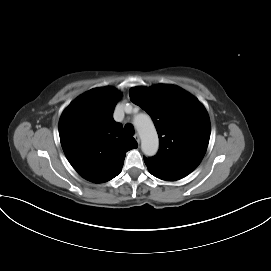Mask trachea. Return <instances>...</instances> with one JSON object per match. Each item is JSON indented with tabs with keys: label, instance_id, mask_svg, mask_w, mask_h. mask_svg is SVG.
Listing matches in <instances>:
<instances>
[{
	"label": "trachea",
	"instance_id": "obj_1",
	"mask_svg": "<svg viewBox=\"0 0 271 271\" xmlns=\"http://www.w3.org/2000/svg\"><path fill=\"white\" fill-rule=\"evenodd\" d=\"M124 131L127 135H134V127L132 124H126L124 127Z\"/></svg>",
	"mask_w": 271,
	"mask_h": 271
}]
</instances>
